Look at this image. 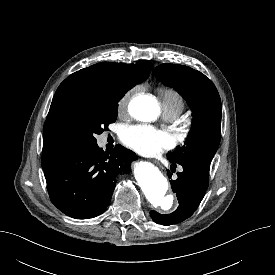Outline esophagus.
<instances>
[{
  "instance_id": "34e87169",
  "label": "esophagus",
  "mask_w": 275,
  "mask_h": 275,
  "mask_svg": "<svg viewBox=\"0 0 275 275\" xmlns=\"http://www.w3.org/2000/svg\"><path fill=\"white\" fill-rule=\"evenodd\" d=\"M154 163L157 164V165H160V163L158 161H156V160L154 161Z\"/></svg>"
}]
</instances>
